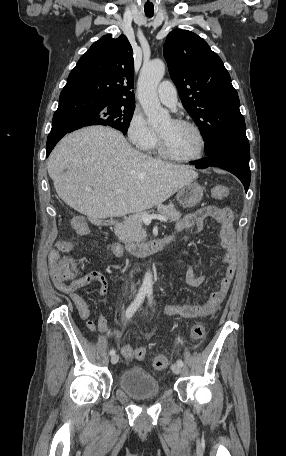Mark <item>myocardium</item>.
Returning <instances> with one entry per match:
<instances>
[{"label":"myocardium","mask_w":286,"mask_h":456,"mask_svg":"<svg viewBox=\"0 0 286 456\" xmlns=\"http://www.w3.org/2000/svg\"><path fill=\"white\" fill-rule=\"evenodd\" d=\"M172 121L178 125L190 127L196 132V134L198 135V138L200 140V150L195 156H192V157H187V158L177 157V156L171 154L167 150L166 144H165L162 136L157 132V150H158V153L160 154V156H162L163 158H165L167 160H171V161H175V162H182V163H192V162H196V161H199L200 159H202L206 153L207 140H206V137H205L203 131L201 130V128L194 122L186 120V119L173 118Z\"/></svg>","instance_id":"1"}]
</instances>
